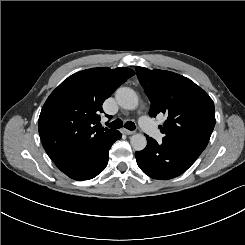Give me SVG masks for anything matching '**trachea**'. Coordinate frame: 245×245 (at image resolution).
Returning <instances> with one entry per match:
<instances>
[{"mask_svg": "<svg viewBox=\"0 0 245 245\" xmlns=\"http://www.w3.org/2000/svg\"><path fill=\"white\" fill-rule=\"evenodd\" d=\"M123 126H124L126 129L130 130V131H133V130L136 128L134 122H132V121H127V122L125 123V125H123V121H122L121 119H116V120H114L113 122H111V123L109 124V127L112 128V129H120V128H122Z\"/></svg>", "mask_w": 245, "mask_h": 245, "instance_id": "3493384b", "label": "trachea"}]
</instances>
